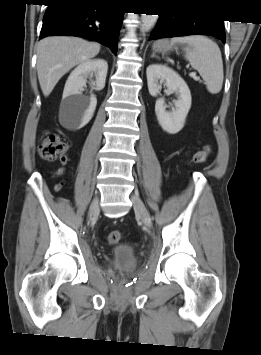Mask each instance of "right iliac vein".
I'll use <instances>...</instances> for the list:
<instances>
[{"label":"right iliac vein","instance_id":"63e3f726","mask_svg":"<svg viewBox=\"0 0 261 355\" xmlns=\"http://www.w3.org/2000/svg\"><path fill=\"white\" fill-rule=\"evenodd\" d=\"M99 213V198L96 196L89 208V212H88V217L89 219H91L92 217L98 215Z\"/></svg>","mask_w":261,"mask_h":355}]
</instances>
